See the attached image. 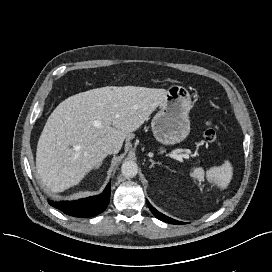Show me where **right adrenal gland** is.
I'll list each match as a JSON object with an SVG mask.
<instances>
[{
	"label": "right adrenal gland",
	"mask_w": 272,
	"mask_h": 272,
	"mask_svg": "<svg viewBox=\"0 0 272 272\" xmlns=\"http://www.w3.org/2000/svg\"><path fill=\"white\" fill-rule=\"evenodd\" d=\"M101 163H102V162L98 163V164L95 166V168H96V169L99 168L100 165H101Z\"/></svg>",
	"instance_id": "right-adrenal-gland-1"
}]
</instances>
